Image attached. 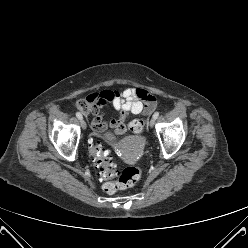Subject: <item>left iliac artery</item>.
I'll list each match as a JSON object with an SVG mask.
<instances>
[{"mask_svg":"<svg viewBox=\"0 0 248 248\" xmlns=\"http://www.w3.org/2000/svg\"><path fill=\"white\" fill-rule=\"evenodd\" d=\"M159 116V112H155L154 115H153V118L156 120Z\"/></svg>","mask_w":248,"mask_h":248,"instance_id":"obj_1","label":"left iliac artery"}]
</instances>
